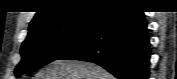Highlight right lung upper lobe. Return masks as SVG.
Wrapping results in <instances>:
<instances>
[{"mask_svg": "<svg viewBox=\"0 0 177 79\" xmlns=\"http://www.w3.org/2000/svg\"><path fill=\"white\" fill-rule=\"evenodd\" d=\"M127 0H48L36 13L29 25V31L54 22L66 21L92 13L103 14L105 10L130 5Z\"/></svg>", "mask_w": 177, "mask_h": 79, "instance_id": "obj_1", "label": "right lung upper lobe"}]
</instances>
